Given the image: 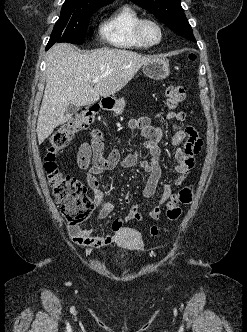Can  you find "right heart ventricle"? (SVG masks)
Wrapping results in <instances>:
<instances>
[{"label":"right heart ventricle","mask_w":247,"mask_h":332,"mask_svg":"<svg viewBox=\"0 0 247 332\" xmlns=\"http://www.w3.org/2000/svg\"><path fill=\"white\" fill-rule=\"evenodd\" d=\"M140 19H142V15L136 8L124 4L104 21L101 36L108 44L116 48L145 49L146 46L138 40L135 34V27Z\"/></svg>","instance_id":"e07e8e85"}]
</instances>
